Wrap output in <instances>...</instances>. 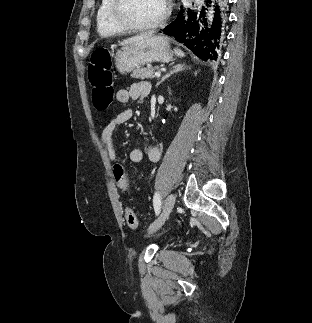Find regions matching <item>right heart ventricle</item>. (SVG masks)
I'll return each instance as SVG.
<instances>
[{"mask_svg": "<svg viewBox=\"0 0 312 323\" xmlns=\"http://www.w3.org/2000/svg\"><path fill=\"white\" fill-rule=\"evenodd\" d=\"M114 12L113 1H96L94 18L100 33H119V29H125V22H117Z\"/></svg>", "mask_w": 312, "mask_h": 323, "instance_id": "1", "label": "right heart ventricle"}]
</instances>
